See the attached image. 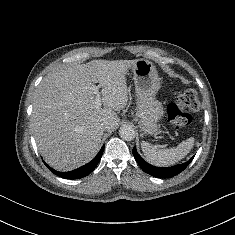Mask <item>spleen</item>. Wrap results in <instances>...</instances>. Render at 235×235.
<instances>
[{
    "label": "spleen",
    "instance_id": "1",
    "mask_svg": "<svg viewBox=\"0 0 235 235\" xmlns=\"http://www.w3.org/2000/svg\"><path fill=\"white\" fill-rule=\"evenodd\" d=\"M194 138L190 137L182 141L177 147L160 149L156 145L142 142L141 148L146 159L156 166H169L183 159L193 148Z\"/></svg>",
    "mask_w": 235,
    "mask_h": 235
}]
</instances>
